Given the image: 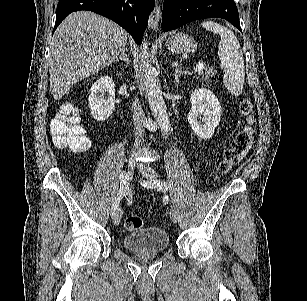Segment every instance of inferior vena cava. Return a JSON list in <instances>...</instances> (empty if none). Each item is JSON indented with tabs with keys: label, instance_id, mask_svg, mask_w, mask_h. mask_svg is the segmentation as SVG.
Segmentation results:
<instances>
[{
	"label": "inferior vena cava",
	"instance_id": "1",
	"mask_svg": "<svg viewBox=\"0 0 307 301\" xmlns=\"http://www.w3.org/2000/svg\"><path fill=\"white\" fill-rule=\"evenodd\" d=\"M132 116L135 130V142L133 144L132 153H135V151H137V148H139L142 136H144L143 124L147 120L138 98H134L132 102Z\"/></svg>",
	"mask_w": 307,
	"mask_h": 301
}]
</instances>
